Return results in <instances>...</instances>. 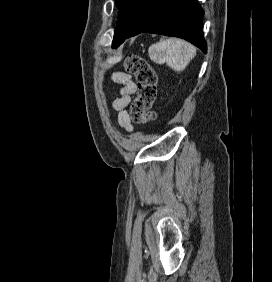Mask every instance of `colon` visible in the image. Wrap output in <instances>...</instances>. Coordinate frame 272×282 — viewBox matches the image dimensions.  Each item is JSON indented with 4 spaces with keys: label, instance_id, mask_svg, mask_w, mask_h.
<instances>
[{
    "label": "colon",
    "instance_id": "1",
    "mask_svg": "<svg viewBox=\"0 0 272 282\" xmlns=\"http://www.w3.org/2000/svg\"><path fill=\"white\" fill-rule=\"evenodd\" d=\"M124 66L128 74L134 75L137 83V94L130 106V119L135 123L145 124L155 117L152 108L157 98V73L139 55L129 56Z\"/></svg>",
    "mask_w": 272,
    "mask_h": 282
}]
</instances>
